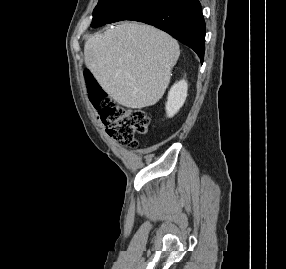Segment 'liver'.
Wrapping results in <instances>:
<instances>
[{
	"mask_svg": "<svg viewBox=\"0 0 286 269\" xmlns=\"http://www.w3.org/2000/svg\"><path fill=\"white\" fill-rule=\"evenodd\" d=\"M84 54L86 67L112 99L141 109L162 98L180 50L175 39L155 27L123 22L90 37Z\"/></svg>",
	"mask_w": 286,
	"mask_h": 269,
	"instance_id": "1",
	"label": "liver"
}]
</instances>
